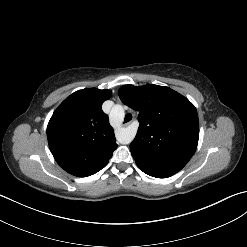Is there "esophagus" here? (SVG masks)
<instances>
[{
    "label": "esophagus",
    "instance_id": "obj_1",
    "mask_svg": "<svg viewBox=\"0 0 247 247\" xmlns=\"http://www.w3.org/2000/svg\"><path fill=\"white\" fill-rule=\"evenodd\" d=\"M131 122H128L126 125H129Z\"/></svg>",
    "mask_w": 247,
    "mask_h": 247
}]
</instances>
